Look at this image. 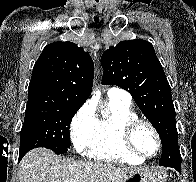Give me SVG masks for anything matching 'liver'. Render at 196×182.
Instances as JSON below:
<instances>
[{
  "label": "liver",
  "mask_w": 196,
  "mask_h": 182,
  "mask_svg": "<svg viewBox=\"0 0 196 182\" xmlns=\"http://www.w3.org/2000/svg\"><path fill=\"white\" fill-rule=\"evenodd\" d=\"M141 169L116 167L107 163L61 158L51 150L28 152L19 167L20 182H125Z\"/></svg>",
  "instance_id": "6515ba94"
}]
</instances>
